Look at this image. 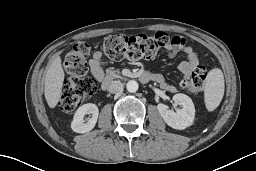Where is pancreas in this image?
<instances>
[{
	"mask_svg": "<svg viewBox=\"0 0 256 171\" xmlns=\"http://www.w3.org/2000/svg\"><path fill=\"white\" fill-rule=\"evenodd\" d=\"M106 78L107 79H113V78H121L119 75V72L117 70H114V68H109L106 70Z\"/></svg>",
	"mask_w": 256,
	"mask_h": 171,
	"instance_id": "cf45deb5",
	"label": "pancreas"
}]
</instances>
